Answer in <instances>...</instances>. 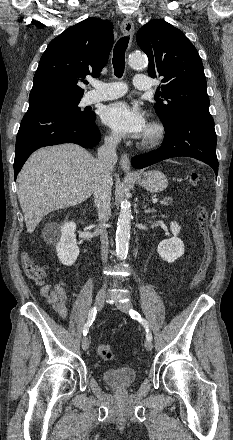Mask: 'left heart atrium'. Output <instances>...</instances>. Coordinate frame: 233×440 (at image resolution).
<instances>
[{
  "label": "left heart atrium",
  "instance_id": "1",
  "mask_svg": "<svg viewBox=\"0 0 233 440\" xmlns=\"http://www.w3.org/2000/svg\"><path fill=\"white\" fill-rule=\"evenodd\" d=\"M102 121L120 136L140 137L147 130L143 114L123 101L107 106Z\"/></svg>",
  "mask_w": 233,
  "mask_h": 440
}]
</instances>
